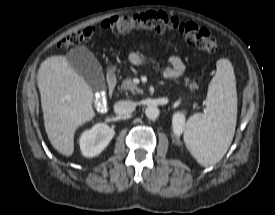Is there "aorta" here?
Instances as JSON below:
<instances>
[{"label":"aorta","instance_id":"1","mask_svg":"<svg viewBox=\"0 0 275 215\" xmlns=\"http://www.w3.org/2000/svg\"><path fill=\"white\" fill-rule=\"evenodd\" d=\"M160 114V110L158 109V107L156 106H148L146 109H145V115L148 119L150 120H155L158 118Z\"/></svg>","mask_w":275,"mask_h":215}]
</instances>
